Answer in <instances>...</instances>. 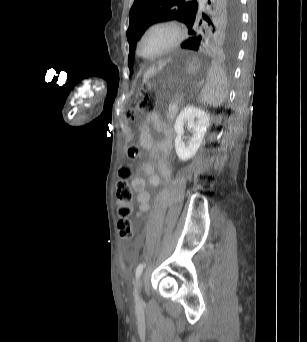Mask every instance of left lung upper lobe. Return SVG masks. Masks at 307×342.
<instances>
[{"label": "left lung upper lobe", "instance_id": "1", "mask_svg": "<svg viewBox=\"0 0 307 342\" xmlns=\"http://www.w3.org/2000/svg\"><path fill=\"white\" fill-rule=\"evenodd\" d=\"M239 0H212L209 16L198 13L196 0H135L129 13L126 33L130 46L128 65L133 68L136 43L145 30L161 21L179 20L189 29L188 40L181 44L189 50L219 49L235 53L240 35Z\"/></svg>", "mask_w": 307, "mask_h": 342}]
</instances>
